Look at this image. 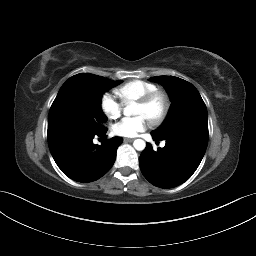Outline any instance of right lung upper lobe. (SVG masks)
Segmentation results:
<instances>
[{"instance_id": "obj_1", "label": "right lung upper lobe", "mask_w": 256, "mask_h": 256, "mask_svg": "<svg viewBox=\"0 0 256 256\" xmlns=\"http://www.w3.org/2000/svg\"><path fill=\"white\" fill-rule=\"evenodd\" d=\"M73 78H69L60 88L58 95L63 94L65 92L72 91L74 89V85L72 84Z\"/></svg>"}]
</instances>
